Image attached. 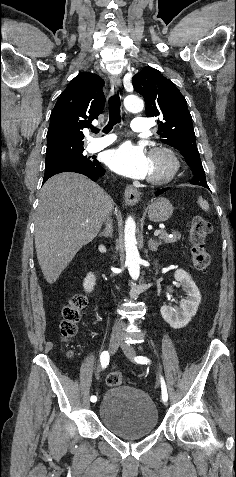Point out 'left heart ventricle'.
<instances>
[{"label":"left heart ventricle","instance_id":"1","mask_svg":"<svg viewBox=\"0 0 236 477\" xmlns=\"http://www.w3.org/2000/svg\"><path fill=\"white\" fill-rule=\"evenodd\" d=\"M167 169L166 161L163 157H156L150 159V170L149 175L156 176L160 175Z\"/></svg>","mask_w":236,"mask_h":477}]
</instances>
